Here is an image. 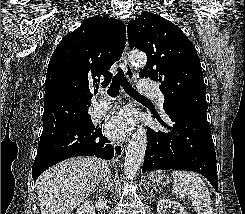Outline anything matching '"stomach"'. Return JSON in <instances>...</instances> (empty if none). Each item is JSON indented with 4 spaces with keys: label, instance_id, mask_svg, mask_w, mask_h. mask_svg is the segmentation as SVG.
Here are the masks:
<instances>
[{
    "label": "stomach",
    "instance_id": "0dacf381",
    "mask_svg": "<svg viewBox=\"0 0 245 214\" xmlns=\"http://www.w3.org/2000/svg\"><path fill=\"white\" fill-rule=\"evenodd\" d=\"M151 181L155 186H159V185L166 186L167 184L170 183L169 178L161 174L152 175Z\"/></svg>",
    "mask_w": 245,
    "mask_h": 214
}]
</instances>
